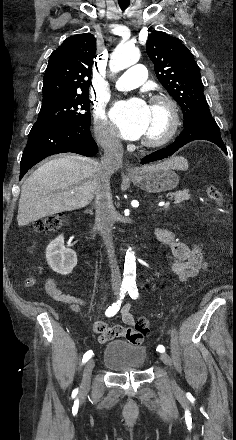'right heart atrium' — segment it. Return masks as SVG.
I'll return each instance as SVG.
<instances>
[{"label": "right heart atrium", "mask_w": 236, "mask_h": 440, "mask_svg": "<svg viewBox=\"0 0 236 440\" xmlns=\"http://www.w3.org/2000/svg\"><path fill=\"white\" fill-rule=\"evenodd\" d=\"M94 134L98 143L107 150H116L119 145L117 135L102 107L95 109Z\"/></svg>", "instance_id": "right-heart-atrium-1"}]
</instances>
